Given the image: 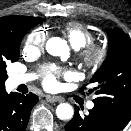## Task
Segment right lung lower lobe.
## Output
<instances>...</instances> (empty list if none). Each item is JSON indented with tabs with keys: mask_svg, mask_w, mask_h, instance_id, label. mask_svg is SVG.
<instances>
[{
	"mask_svg": "<svg viewBox=\"0 0 131 131\" xmlns=\"http://www.w3.org/2000/svg\"><path fill=\"white\" fill-rule=\"evenodd\" d=\"M38 97L29 93L0 92V131H24Z\"/></svg>",
	"mask_w": 131,
	"mask_h": 131,
	"instance_id": "right-lung-lower-lobe-1",
	"label": "right lung lower lobe"
}]
</instances>
